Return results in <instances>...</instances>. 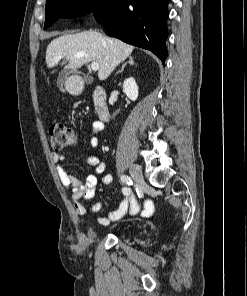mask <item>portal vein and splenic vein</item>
<instances>
[{"instance_id": "18ae733b", "label": "portal vein and splenic vein", "mask_w": 247, "mask_h": 296, "mask_svg": "<svg viewBox=\"0 0 247 296\" xmlns=\"http://www.w3.org/2000/svg\"><path fill=\"white\" fill-rule=\"evenodd\" d=\"M91 69L93 71H97L99 69V64L97 62H92L91 63Z\"/></svg>"}]
</instances>
